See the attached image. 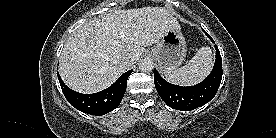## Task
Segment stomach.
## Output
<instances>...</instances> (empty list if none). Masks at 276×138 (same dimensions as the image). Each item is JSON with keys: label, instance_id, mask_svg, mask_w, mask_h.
Listing matches in <instances>:
<instances>
[{"label": "stomach", "instance_id": "1", "mask_svg": "<svg viewBox=\"0 0 276 138\" xmlns=\"http://www.w3.org/2000/svg\"><path fill=\"white\" fill-rule=\"evenodd\" d=\"M151 54L164 73L176 70L186 56V41L180 26L170 28L151 50Z\"/></svg>", "mask_w": 276, "mask_h": 138}]
</instances>
